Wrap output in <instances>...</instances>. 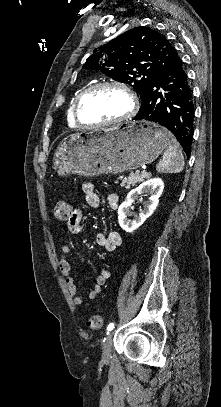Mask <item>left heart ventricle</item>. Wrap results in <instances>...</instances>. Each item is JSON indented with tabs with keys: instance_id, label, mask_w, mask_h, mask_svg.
Listing matches in <instances>:
<instances>
[{
	"instance_id": "b2bd125f",
	"label": "left heart ventricle",
	"mask_w": 221,
	"mask_h": 407,
	"mask_svg": "<svg viewBox=\"0 0 221 407\" xmlns=\"http://www.w3.org/2000/svg\"><path fill=\"white\" fill-rule=\"evenodd\" d=\"M128 95L118 88H105L94 93L82 106L87 123L104 122L120 118L130 110Z\"/></svg>"
}]
</instances>
